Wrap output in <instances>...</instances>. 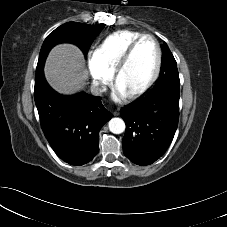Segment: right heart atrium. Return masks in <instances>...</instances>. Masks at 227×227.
Returning a JSON list of instances; mask_svg holds the SVG:
<instances>
[{
    "label": "right heart atrium",
    "mask_w": 227,
    "mask_h": 227,
    "mask_svg": "<svg viewBox=\"0 0 227 227\" xmlns=\"http://www.w3.org/2000/svg\"><path fill=\"white\" fill-rule=\"evenodd\" d=\"M87 68L92 86L99 92L104 91L111 81V73L100 64L94 54L88 56Z\"/></svg>",
    "instance_id": "obj_1"
}]
</instances>
